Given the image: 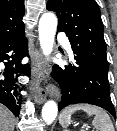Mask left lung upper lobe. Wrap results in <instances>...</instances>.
<instances>
[{
	"instance_id": "1",
	"label": "left lung upper lobe",
	"mask_w": 117,
	"mask_h": 131,
	"mask_svg": "<svg viewBox=\"0 0 117 131\" xmlns=\"http://www.w3.org/2000/svg\"><path fill=\"white\" fill-rule=\"evenodd\" d=\"M46 9L59 19L58 30L69 38L75 56L108 77L109 63L103 36V22L95 0H48Z\"/></svg>"
}]
</instances>
